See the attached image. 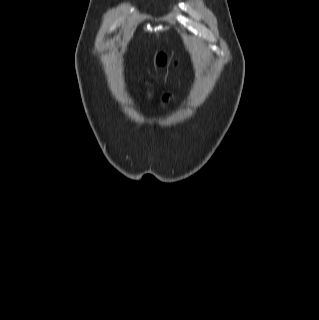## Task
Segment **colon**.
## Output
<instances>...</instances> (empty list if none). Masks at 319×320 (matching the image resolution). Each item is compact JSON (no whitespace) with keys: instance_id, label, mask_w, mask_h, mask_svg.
Segmentation results:
<instances>
[{"instance_id":"1","label":"colon","mask_w":319,"mask_h":320,"mask_svg":"<svg viewBox=\"0 0 319 320\" xmlns=\"http://www.w3.org/2000/svg\"><path fill=\"white\" fill-rule=\"evenodd\" d=\"M157 61L160 64H164L167 61V58L164 54H159L157 57Z\"/></svg>"}]
</instances>
